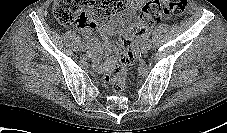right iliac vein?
I'll list each match as a JSON object with an SVG mask.
<instances>
[{
	"label": "right iliac vein",
	"instance_id": "1",
	"mask_svg": "<svg viewBox=\"0 0 227 133\" xmlns=\"http://www.w3.org/2000/svg\"><path fill=\"white\" fill-rule=\"evenodd\" d=\"M81 48H82V50H89L90 45L88 43H84Z\"/></svg>",
	"mask_w": 227,
	"mask_h": 133
}]
</instances>
